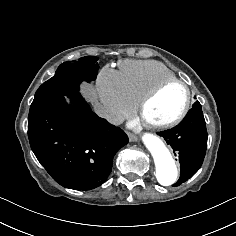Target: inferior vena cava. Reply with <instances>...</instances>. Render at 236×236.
<instances>
[{
	"mask_svg": "<svg viewBox=\"0 0 236 236\" xmlns=\"http://www.w3.org/2000/svg\"><path fill=\"white\" fill-rule=\"evenodd\" d=\"M94 111L98 116L106 118L109 122H116L114 118V112L111 111L109 108L97 105L94 107Z\"/></svg>",
	"mask_w": 236,
	"mask_h": 236,
	"instance_id": "602c4592",
	"label": "inferior vena cava"
}]
</instances>
